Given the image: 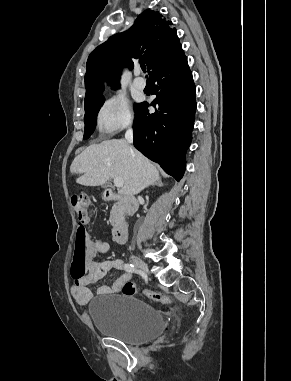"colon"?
Listing matches in <instances>:
<instances>
[{
  "mask_svg": "<svg viewBox=\"0 0 291 381\" xmlns=\"http://www.w3.org/2000/svg\"><path fill=\"white\" fill-rule=\"evenodd\" d=\"M72 205L80 224L76 234L74 263L78 270L84 272L88 247V233L85 225L90 220V204L86 197L77 196L73 198ZM121 292L124 295L133 296L138 293V290L134 283L128 281L122 285ZM144 296L149 300L162 304L171 302L167 295L158 292H146Z\"/></svg>",
  "mask_w": 291,
  "mask_h": 381,
  "instance_id": "5ec220e1",
  "label": "colon"
}]
</instances>
